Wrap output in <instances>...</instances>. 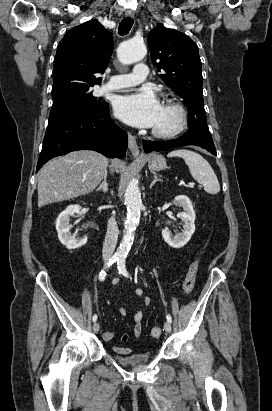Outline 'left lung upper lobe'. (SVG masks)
<instances>
[{
    "instance_id": "5c2ea615",
    "label": "left lung upper lobe",
    "mask_w": 272,
    "mask_h": 411,
    "mask_svg": "<svg viewBox=\"0 0 272 411\" xmlns=\"http://www.w3.org/2000/svg\"><path fill=\"white\" fill-rule=\"evenodd\" d=\"M147 42L160 78L188 107L189 129L208 128L203 100L202 67L197 45L184 33L165 27L150 31Z\"/></svg>"
}]
</instances>
